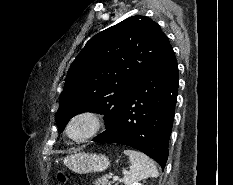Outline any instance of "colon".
I'll return each mask as SVG.
<instances>
[{"label":"colon","mask_w":233,"mask_h":185,"mask_svg":"<svg viewBox=\"0 0 233 185\" xmlns=\"http://www.w3.org/2000/svg\"><path fill=\"white\" fill-rule=\"evenodd\" d=\"M58 181L59 185H64V183L66 182V176L63 172L58 173Z\"/></svg>","instance_id":"colon-1"}]
</instances>
